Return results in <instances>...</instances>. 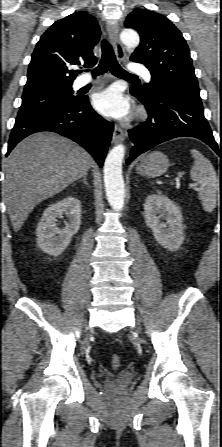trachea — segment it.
<instances>
[{
    "label": "trachea",
    "mask_w": 222,
    "mask_h": 447,
    "mask_svg": "<svg viewBox=\"0 0 222 447\" xmlns=\"http://www.w3.org/2000/svg\"><path fill=\"white\" fill-rule=\"evenodd\" d=\"M108 70L120 78H138L136 75L130 74L125 71L117 62L113 48L111 44L103 40L102 41V57L99 65L92 71L93 77L102 75ZM82 70H77V73H81Z\"/></svg>",
    "instance_id": "1"
}]
</instances>
